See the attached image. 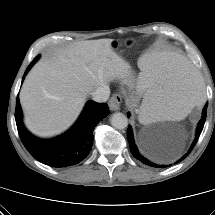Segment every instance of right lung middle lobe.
<instances>
[{
	"label": "right lung middle lobe",
	"instance_id": "right-lung-middle-lobe-1",
	"mask_svg": "<svg viewBox=\"0 0 215 215\" xmlns=\"http://www.w3.org/2000/svg\"><path fill=\"white\" fill-rule=\"evenodd\" d=\"M39 59V55L33 60L32 64H34Z\"/></svg>",
	"mask_w": 215,
	"mask_h": 215
}]
</instances>
